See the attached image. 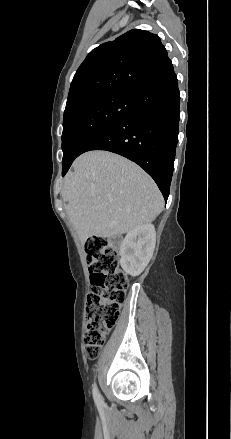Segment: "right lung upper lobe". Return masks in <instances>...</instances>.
<instances>
[{
  "label": "right lung upper lobe",
  "mask_w": 231,
  "mask_h": 439,
  "mask_svg": "<svg viewBox=\"0 0 231 439\" xmlns=\"http://www.w3.org/2000/svg\"><path fill=\"white\" fill-rule=\"evenodd\" d=\"M172 70L156 34L130 30L88 54L74 75L65 111L99 95L134 93Z\"/></svg>",
  "instance_id": "1"
}]
</instances>
